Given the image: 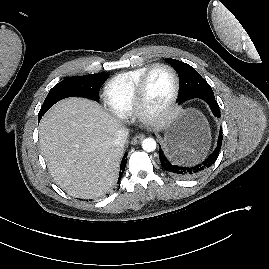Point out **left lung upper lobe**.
I'll list each match as a JSON object with an SVG mask.
<instances>
[{"label":"left lung upper lobe","mask_w":269,"mask_h":269,"mask_svg":"<svg viewBox=\"0 0 269 269\" xmlns=\"http://www.w3.org/2000/svg\"><path fill=\"white\" fill-rule=\"evenodd\" d=\"M165 61L172 65L179 75L180 102L206 95L214 96L210 85L192 66L171 58H166Z\"/></svg>","instance_id":"obj_1"}]
</instances>
